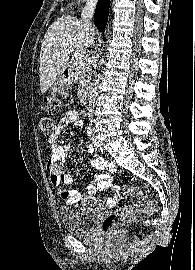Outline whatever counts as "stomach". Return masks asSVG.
I'll return each mask as SVG.
<instances>
[{
	"instance_id": "stomach-1",
	"label": "stomach",
	"mask_w": 195,
	"mask_h": 270,
	"mask_svg": "<svg viewBox=\"0 0 195 270\" xmlns=\"http://www.w3.org/2000/svg\"><path fill=\"white\" fill-rule=\"evenodd\" d=\"M70 84V78L61 74L52 85L50 92L56 94L65 89Z\"/></svg>"
}]
</instances>
